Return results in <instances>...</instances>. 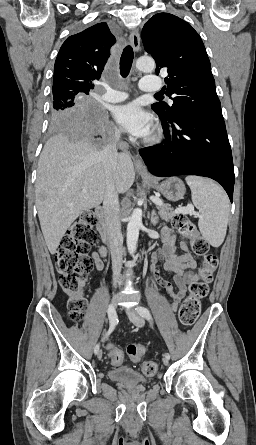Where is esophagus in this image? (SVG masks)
<instances>
[{"label": "esophagus", "mask_w": 256, "mask_h": 445, "mask_svg": "<svg viewBox=\"0 0 256 445\" xmlns=\"http://www.w3.org/2000/svg\"><path fill=\"white\" fill-rule=\"evenodd\" d=\"M130 44L132 45L134 51H139L140 49V35L138 30H132L129 37ZM134 165L138 172L147 173V169L144 165L142 158L139 155L135 156Z\"/></svg>", "instance_id": "34e87169"}]
</instances>
